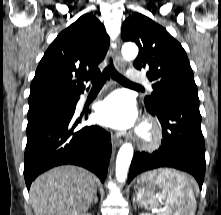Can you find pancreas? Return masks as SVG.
Masks as SVG:
<instances>
[{"instance_id":"pancreas-1","label":"pancreas","mask_w":221,"mask_h":215,"mask_svg":"<svg viewBox=\"0 0 221 215\" xmlns=\"http://www.w3.org/2000/svg\"><path fill=\"white\" fill-rule=\"evenodd\" d=\"M158 215H171V212L166 210V211H160Z\"/></svg>"}]
</instances>
